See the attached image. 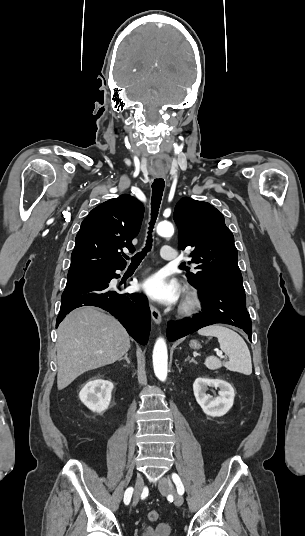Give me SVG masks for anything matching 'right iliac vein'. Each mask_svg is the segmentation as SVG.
Masks as SVG:
<instances>
[{
    "instance_id": "1",
    "label": "right iliac vein",
    "mask_w": 305,
    "mask_h": 536,
    "mask_svg": "<svg viewBox=\"0 0 305 536\" xmlns=\"http://www.w3.org/2000/svg\"><path fill=\"white\" fill-rule=\"evenodd\" d=\"M143 485H144L143 479L141 475H138L135 481V491H134V497H133V502H132L133 506H136L138 504V501L142 494Z\"/></svg>"
}]
</instances>
